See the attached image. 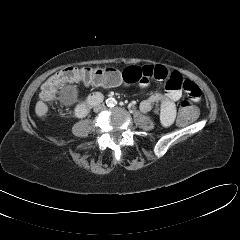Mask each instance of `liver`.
<instances>
[{"instance_id": "liver-1", "label": "liver", "mask_w": 240, "mask_h": 240, "mask_svg": "<svg viewBox=\"0 0 240 240\" xmlns=\"http://www.w3.org/2000/svg\"><path fill=\"white\" fill-rule=\"evenodd\" d=\"M48 112V106L43 101H38L35 106V113L38 117H43Z\"/></svg>"}]
</instances>
